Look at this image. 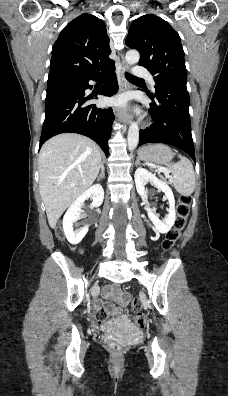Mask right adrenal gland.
Instances as JSON below:
<instances>
[{
    "label": "right adrenal gland",
    "mask_w": 228,
    "mask_h": 396,
    "mask_svg": "<svg viewBox=\"0 0 228 396\" xmlns=\"http://www.w3.org/2000/svg\"><path fill=\"white\" fill-rule=\"evenodd\" d=\"M104 176H105V168H104V165L102 164V166H101V173H100V175L98 176L97 181H100L101 179H103Z\"/></svg>",
    "instance_id": "2a0ac1e0"
}]
</instances>
